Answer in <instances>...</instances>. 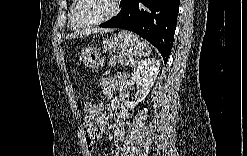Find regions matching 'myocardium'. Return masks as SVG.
<instances>
[{"mask_svg":"<svg viewBox=\"0 0 247 156\" xmlns=\"http://www.w3.org/2000/svg\"><path fill=\"white\" fill-rule=\"evenodd\" d=\"M82 1L83 0L75 1L74 6L72 8L71 15H70L71 25L76 29H87V28H92V27L101 25L104 22L110 20L112 17H114L118 13V10H119L118 0H110L112 5H111V9H110L109 13H107L105 16H103V17H101V18H99L93 22L82 24V23H78L76 21V18H75L76 11H77V9H78V7Z\"/></svg>","mask_w":247,"mask_h":156,"instance_id":"f54148a6","label":"myocardium"}]
</instances>
